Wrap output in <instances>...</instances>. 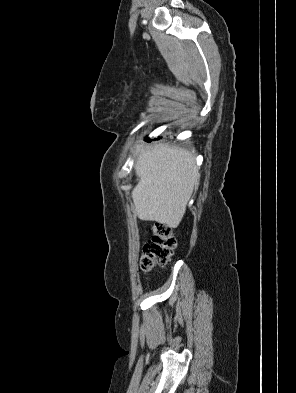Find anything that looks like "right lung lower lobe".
<instances>
[{"mask_svg": "<svg viewBox=\"0 0 296 393\" xmlns=\"http://www.w3.org/2000/svg\"><path fill=\"white\" fill-rule=\"evenodd\" d=\"M147 141H148V142H150V141H151V139L147 138Z\"/></svg>", "mask_w": 296, "mask_h": 393, "instance_id": "98d812e1", "label": "right lung lower lobe"}]
</instances>
